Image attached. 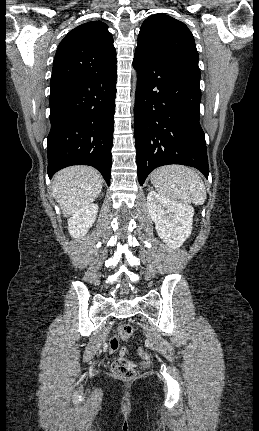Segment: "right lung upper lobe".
<instances>
[{"mask_svg":"<svg viewBox=\"0 0 259 431\" xmlns=\"http://www.w3.org/2000/svg\"><path fill=\"white\" fill-rule=\"evenodd\" d=\"M116 50L105 23L91 21L71 30L60 42L50 86L116 69Z\"/></svg>","mask_w":259,"mask_h":431,"instance_id":"cb5924a9","label":"right lung upper lobe"}]
</instances>
